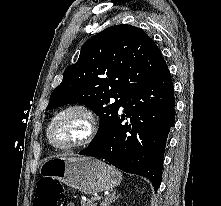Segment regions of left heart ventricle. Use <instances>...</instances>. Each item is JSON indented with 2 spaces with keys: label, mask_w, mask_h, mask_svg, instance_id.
<instances>
[{
  "label": "left heart ventricle",
  "mask_w": 221,
  "mask_h": 206,
  "mask_svg": "<svg viewBox=\"0 0 221 206\" xmlns=\"http://www.w3.org/2000/svg\"><path fill=\"white\" fill-rule=\"evenodd\" d=\"M84 130V119L78 114H69L54 125L51 131L52 140L57 144L69 143L81 137Z\"/></svg>",
  "instance_id": "obj_1"
}]
</instances>
